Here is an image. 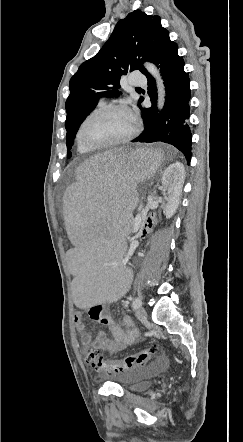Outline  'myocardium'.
Here are the masks:
<instances>
[{
    "instance_id": "obj_1",
    "label": "myocardium",
    "mask_w": 243,
    "mask_h": 442,
    "mask_svg": "<svg viewBox=\"0 0 243 442\" xmlns=\"http://www.w3.org/2000/svg\"><path fill=\"white\" fill-rule=\"evenodd\" d=\"M113 111H126L128 112L134 120V126L132 131L125 137L114 140V141H110L107 143H102V144H92L89 143L85 137H84V131L87 127V125L94 119L101 117L103 115H106L110 112ZM138 132V125L135 121V118L132 114V112L130 111V109L123 104H113V105H108V106H104L101 109L95 111L94 113L90 114L89 116H87L84 121L82 122L80 128H79V140L81 141V143L88 149L90 150H99V149H106V148H110V147H115V146H120L123 145L125 143H128L129 141H131L135 135Z\"/></svg>"
}]
</instances>
